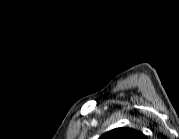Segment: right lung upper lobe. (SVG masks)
Returning a JSON list of instances; mask_svg holds the SVG:
<instances>
[{
	"label": "right lung upper lobe",
	"instance_id": "right-lung-upper-lobe-1",
	"mask_svg": "<svg viewBox=\"0 0 179 139\" xmlns=\"http://www.w3.org/2000/svg\"><path fill=\"white\" fill-rule=\"evenodd\" d=\"M144 135L132 128H116L104 133L100 139H143Z\"/></svg>",
	"mask_w": 179,
	"mask_h": 139
}]
</instances>
